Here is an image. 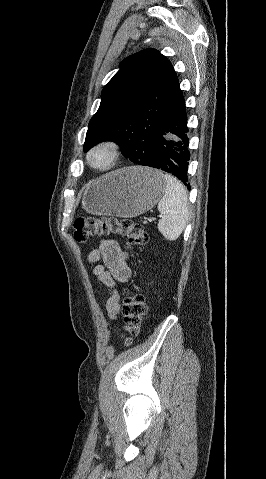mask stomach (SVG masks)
<instances>
[{
    "label": "stomach",
    "mask_w": 266,
    "mask_h": 479,
    "mask_svg": "<svg viewBox=\"0 0 266 479\" xmlns=\"http://www.w3.org/2000/svg\"><path fill=\"white\" fill-rule=\"evenodd\" d=\"M165 185V176L157 169L126 167L89 185L82 206L93 215L137 217L156 205Z\"/></svg>",
    "instance_id": "0dacf381"
}]
</instances>
